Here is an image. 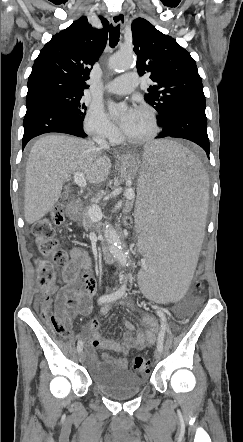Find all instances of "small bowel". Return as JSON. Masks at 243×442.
I'll list each match as a JSON object with an SVG mask.
<instances>
[{"label":"small bowel","mask_w":243,"mask_h":442,"mask_svg":"<svg viewBox=\"0 0 243 442\" xmlns=\"http://www.w3.org/2000/svg\"><path fill=\"white\" fill-rule=\"evenodd\" d=\"M62 276L65 286L60 289L56 296V309L65 313L68 321L69 330L72 320L78 316H88L92 311V298L96 293V282L92 276L91 258L87 251L81 247H73L70 250V260L63 268ZM126 307L130 308L128 304ZM111 309L110 305L102 307L101 312L107 314ZM142 328L138 329L136 335L132 334L135 329L134 324L125 320L123 322L126 332L123 335L122 342L114 338H103L100 334L101 323L94 318L90 322L92 331L89 342L91 358H96V350H111L117 352L122 357H114L105 354L104 358L113 360L120 367H127L125 355L130 350H141L147 345H151L156 340L158 329L157 322L149 317L140 319Z\"/></svg>","instance_id":"c3829d8e"}]
</instances>
